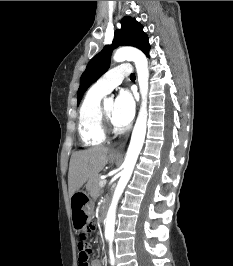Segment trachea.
I'll return each instance as SVG.
<instances>
[{"instance_id": "obj_1", "label": "trachea", "mask_w": 233, "mask_h": 266, "mask_svg": "<svg viewBox=\"0 0 233 266\" xmlns=\"http://www.w3.org/2000/svg\"><path fill=\"white\" fill-rule=\"evenodd\" d=\"M130 78H131V79H135V74L132 73V74L130 75Z\"/></svg>"}]
</instances>
